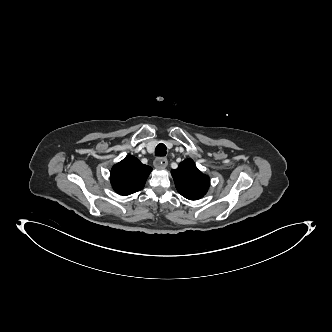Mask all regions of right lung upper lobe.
<instances>
[{
  "mask_svg": "<svg viewBox=\"0 0 332 332\" xmlns=\"http://www.w3.org/2000/svg\"><path fill=\"white\" fill-rule=\"evenodd\" d=\"M151 171L150 166L129 155L112 167L110 181L116 193L127 196L143 189Z\"/></svg>",
  "mask_w": 332,
  "mask_h": 332,
  "instance_id": "1",
  "label": "right lung upper lobe"
}]
</instances>
